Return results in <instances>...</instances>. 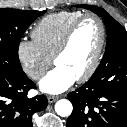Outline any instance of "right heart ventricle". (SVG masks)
Masks as SVG:
<instances>
[{"instance_id":"e07e8e85","label":"right heart ventricle","mask_w":127,"mask_h":127,"mask_svg":"<svg viewBox=\"0 0 127 127\" xmlns=\"http://www.w3.org/2000/svg\"><path fill=\"white\" fill-rule=\"evenodd\" d=\"M82 14L61 11L43 17L32 30L33 40L46 56L52 58L67 29Z\"/></svg>"}]
</instances>
